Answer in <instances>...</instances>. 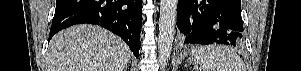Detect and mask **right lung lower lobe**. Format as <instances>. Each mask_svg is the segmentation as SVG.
I'll return each instance as SVG.
<instances>
[{"mask_svg": "<svg viewBox=\"0 0 301 71\" xmlns=\"http://www.w3.org/2000/svg\"><path fill=\"white\" fill-rule=\"evenodd\" d=\"M141 0H56L49 39L75 24H97L119 35L138 58Z\"/></svg>", "mask_w": 301, "mask_h": 71, "instance_id": "98d812e1", "label": "right lung lower lobe"}]
</instances>
